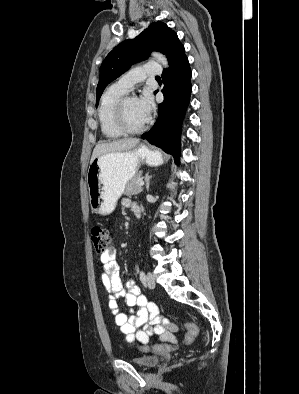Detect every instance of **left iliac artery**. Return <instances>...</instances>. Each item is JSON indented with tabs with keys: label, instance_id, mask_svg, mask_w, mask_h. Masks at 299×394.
<instances>
[{
	"label": "left iliac artery",
	"instance_id": "left-iliac-artery-1",
	"mask_svg": "<svg viewBox=\"0 0 299 394\" xmlns=\"http://www.w3.org/2000/svg\"><path fill=\"white\" fill-rule=\"evenodd\" d=\"M139 277H140V280H141L142 282H144V281H145V279H146V276H145V273H144V271H141V272H140V275H139Z\"/></svg>",
	"mask_w": 299,
	"mask_h": 394
}]
</instances>
